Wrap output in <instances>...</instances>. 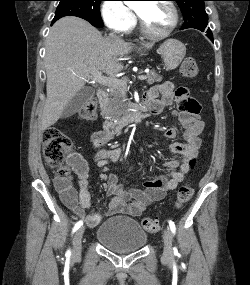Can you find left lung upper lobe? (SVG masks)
<instances>
[{
    "label": "left lung upper lobe",
    "mask_w": 250,
    "mask_h": 285,
    "mask_svg": "<svg viewBox=\"0 0 250 285\" xmlns=\"http://www.w3.org/2000/svg\"><path fill=\"white\" fill-rule=\"evenodd\" d=\"M180 7L184 24L182 29L195 28L201 31L207 29L208 15L205 11L204 1L206 0H174ZM211 32L208 28L207 32Z\"/></svg>",
    "instance_id": "1"
}]
</instances>
